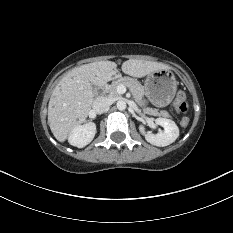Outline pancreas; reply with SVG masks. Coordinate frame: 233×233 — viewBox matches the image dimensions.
<instances>
[{
    "instance_id": "1",
    "label": "pancreas",
    "mask_w": 233,
    "mask_h": 233,
    "mask_svg": "<svg viewBox=\"0 0 233 233\" xmlns=\"http://www.w3.org/2000/svg\"><path fill=\"white\" fill-rule=\"evenodd\" d=\"M119 85H124L125 87L129 88L133 97L135 98V101L140 103L143 95L145 94V90L144 87L139 83V81L130 77H122L112 82V84L109 85L105 90L107 93H109V97L115 98L119 95V93L117 92V87ZM144 112L151 115L170 117L169 113L165 110L158 113L156 109L148 108L144 109Z\"/></svg>"
}]
</instances>
